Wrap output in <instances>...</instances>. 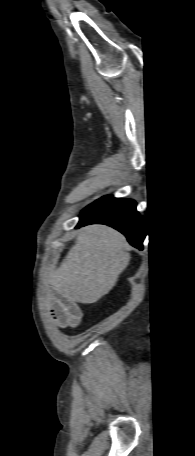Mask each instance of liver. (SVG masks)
Masks as SVG:
<instances>
[{
	"label": "liver",
	"mask_w": 195,
	"mask_h": 456,
	"mask_svg": "<svg viewBox=\"0 0 195 456\" xmlns=\"http://www.w3.org/2000/svg\"><path fill=\"white\" fill-rule=\"evenodd\" d=\"M126 238L104 225L79 230L49 282L72 302L91 304L108 294L131 259Z\"/></svg>",
	"instance_id": "6515ba94"
}]
</instances>
